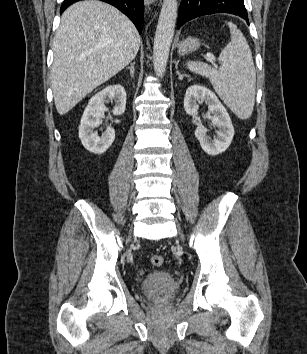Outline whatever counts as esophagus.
Instances as JSON below:
<instances>
[{
    "label": "esophagus",
    "mask_w": 307,
    "mask_h": 354,
    "mask_svg": "<svg viewBox=\"0 0 307 354\" xmlns=\"http://www.w3.org/2000/svg\"><path fill=\"white\" fill-rule=\"evenodd\" d=\"M155 0H144L145 5L149 6L151 3H153ZM157 1V0H156Z\"/></svg>",
    "instance_id": "obj_1"
}]
</instances>
